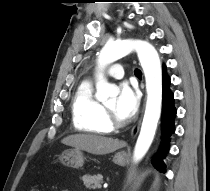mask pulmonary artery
<instances>
[{
  "label": "pulmonary artery",
  "instance_id": "1",
  "mask_svg": "<svg viewBox=\"0 0 210 191\" xmlns=\"http://www.w3.org/2000/svg\"><path fill=\"white\" fill-rule=\"evenodd\" d=\"M108 74L112 78L121 79L124 76L123 67L121 65H115L109 70Z\"/></svg>",
  "mask_w": 210,
  "mask_h": 191
}]
</instances>
